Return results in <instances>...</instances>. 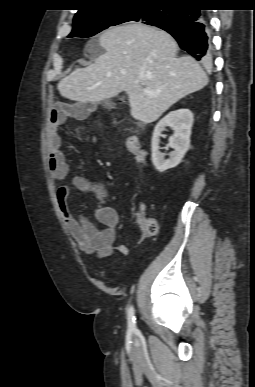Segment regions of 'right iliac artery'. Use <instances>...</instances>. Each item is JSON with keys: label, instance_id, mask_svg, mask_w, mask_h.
Wrapping results in <instances>:
<instances>
[{"label": "right iliac artery", "instance_id": "1", "mask_svg": "<svg viewBox=\"0 0 255 387\" xmlns=\"http://www.w3.org/2000/svg\"><path fill=\"white\" fill-rule=\"evenodd\" d=\"M134 308L133 306H131L129 309H128V316H127V319H128V328L130 330H135L136 329V319H135V315H134Z\"/></svg>", "mask_w": 255, "mask_h": 387}]
</instances>
